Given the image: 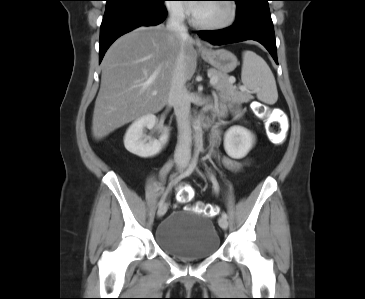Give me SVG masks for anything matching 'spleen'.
I'll list each match as a JSON object with an SVG mask.
<instances>
[{"instance_id": "3e777b00", "label": "spleen", "mask_w": 365, "mask_h": 299, "mask_svg": "<svg viewBox=\"0 0 365 299\" xmlns=\"http://www.w3.org/2000/svg\"><path fill=\"white\" fill-rule=\"evenodd\" d=\"M241 80L245 87L256 93L257 98L274 104L278 92L274 75L265 60L253 51H244Z\"/></svg>"}]
</instances>
